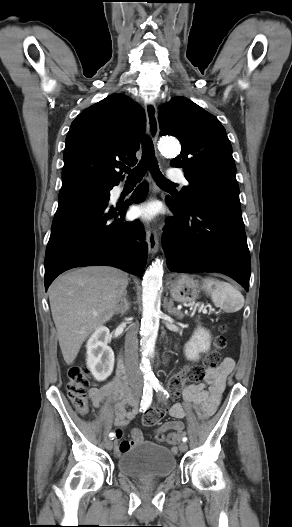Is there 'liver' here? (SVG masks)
Wrapping results in <instances>:
<instances>
[{
    "label": "liver",
    "instance_id": "obj_1",
    "mask_svg": "<svg viewBox=\"0 0 292 527\" xmlns=\"http://www.w3.org/2000/svg\"><path fill=\"white\" fill-rule=\"evenodd\" d=\"M127 285L125 272L105 266L72 270L50 285L52 317L66 364H72L86 338L113 317Z\"/></svg>",
    "mask_w": 292,
    "mask_h": 527
}]
</instances>
